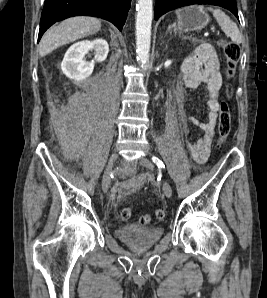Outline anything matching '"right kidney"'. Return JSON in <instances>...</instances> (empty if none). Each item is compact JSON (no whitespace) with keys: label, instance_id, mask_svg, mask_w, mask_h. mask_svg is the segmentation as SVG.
I'll return each mask as SVG.
<instances>
[{"label":"right kidney","instance_id":"obj_1","mask_svg":"<svg viewBox=\"0 0 267 298\" xmlns=\"http://www.w3.org/2000/svg\"><path fill=\"white\" fill-rule=\"evenodd\" d=\"M91 49L95 50V57L91 62H87L83 58ZM108 52V43L102 38L77 42L66 51L61 63V69L69 79L84 80L92 74L95 62L104 61Z\"/></svg>","mask_w":267,"mask_h":298}]
</instances>
